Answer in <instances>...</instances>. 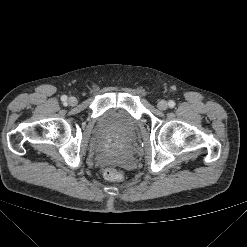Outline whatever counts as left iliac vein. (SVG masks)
<instances>
[{
  "label": "left iliac vein",
  "instance_id": "obj_1",
  "mask_svg": "<svg viewBox=\"0 0 247 247\" xmlns=\"http://www.w3.org/2000/svg\"><path fill=\"white\" fill-rule=\"evenodd\" d=\"M157 107L159 110L164 111L168 108V103L165 100H161L158 102Z\"/></svg>",
  "mask_w": 247,
  "mask_h": 247
}]
</instances>
